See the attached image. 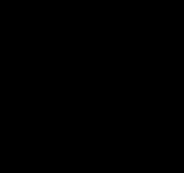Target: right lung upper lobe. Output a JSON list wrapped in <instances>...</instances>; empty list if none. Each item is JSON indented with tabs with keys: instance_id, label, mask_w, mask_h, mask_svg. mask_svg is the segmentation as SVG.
I'll list each match as a JSON object with an SVG mask.
<instances>
[{
	"instance_id": "obj_1",
	"label": "right lung upper lobe",
	"mask_w": 184,
	"mask_h": 173,
	"mask_svg": "<svg viewBox=\"0 0 184 173\" xmlns=\"http://www.w3.org/2000/svg\"><path fill=\"white\" fill-rule=\"evenodd\" d=\"M75 54L60 46L45 52L24 77L13 102L16 128L66 116L70 101L67 76Z\"/></svg>"
}]
</instances>
